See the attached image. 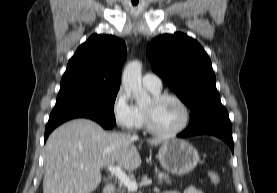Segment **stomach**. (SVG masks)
Returning <instances> with one entry per match:
<instances>
[{
    "instance_id": "1",
    "label": "stomach",
    "mask_w": 277,
    "mask_h": 193,
    "mask_svg": "<svg viewBox=\"0 0 277 193\" xmlns=\"http://www.w3.org/2000/svg\"><path fill=\"white\" fill-rule=\"evenodd\" d=\"M161 166L174 175L191 172L199 162L197 150L187 141L170 139L164 141L158 151Z\"/></svg>"
}]
</instances>
